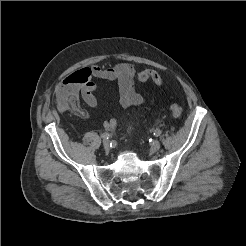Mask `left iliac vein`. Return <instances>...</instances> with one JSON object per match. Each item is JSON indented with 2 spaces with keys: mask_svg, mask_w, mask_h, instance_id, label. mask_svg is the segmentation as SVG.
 <instances>
[{
  "mask_svg": "<svg viewBox=\"0 0 246 246\" xmlns=\"http://www.w3.org/2000/svg\"><path fill=\"white\" fill-rule=\"evenodd\" d=\"M160 146H161L160 142L156 140V141L153 142V144L151 146V150L153 152H156V151H158L160 149Z\"/></svg>",
  "mask_w": 246,
  "mask_h": 246,
  "instance_id": "left-iliac-vein-1",
  "label": "left iliac vein"
}]
</instances>
